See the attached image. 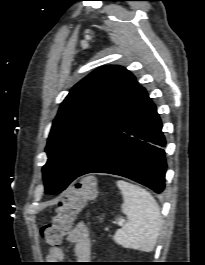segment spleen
Masks as SVG:
<instances>
[{
  "mask_svg": "<svg viewBox=\"0 0 205 265\" xmlns=\"http://www.w3.org/2000/svg\"><path fill=\"white\" fill-rule=\"evenodd\" d=\"M117 186L124 199L122 212L128 220L116 231L114 241L124 248L151 252L157 243L162 224L158 203L138 185L118 180Z\"/></svg>",
  "mask_w": 205,
  "mask_h": 265,
  "instance_id": "1",
  "label": "spleen"
}]
</instances>
